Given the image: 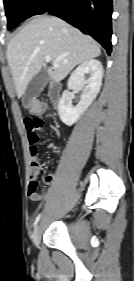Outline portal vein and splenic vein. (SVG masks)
Masks as SVG:
<instances>
[{"mask_svg": "<svg viewBox=\"0 0 134 281\" xmlns=\"http://www.w3.org/2000/svg\"><path fill=\"white\" fill-rule=\"evenodd\" d=\"M51 60H52V58H51L50 56H46V57H45V62H50ZM59 60H60V59H57L56 61L53 62V67H54V68H57V67H58V63H57V62H58Z\"/></svg>", "mask_w": 134, "mask_h": 281, "instance_id": "18ae733b", "label": "portal vein and splenic vein"}]
</instances>
